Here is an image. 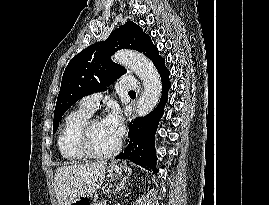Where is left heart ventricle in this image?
<instances>
[{"label":"left heart ventricle","mask_w":269,"mask_h":205,"mask_svg":"<svg viewBox=\"0 0 269 205\" xmlns=\"http://www.w3.org/2000/svg\"><path fill=\"white\" fill-rule=\"evenodd\" d=\"M91 139L94 148L99 152H107L113 149L118 142V139L106 128L103 120H100L93 126Z\"/></svg>","instance_id":"1"}]
</instances>
